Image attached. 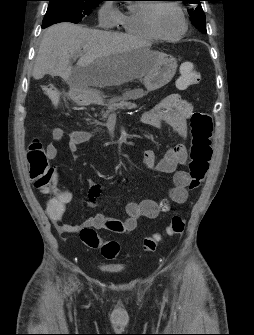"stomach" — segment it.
Masks as SVG:
<instances>
[{
  "label": "stomach",
  "mask_w": 254,
  "mask_h": 335,
  "mask_svg": "<svg viewBox=\"0 0 254 335\" xmlns=\"http://www.w3.org/2000/svg\"><path fill=\"white\" fill-rule=\"evenodd\" d=\"M155 60L152 68L144 76L143 84L146 91L142 89H134L124 94L127 99H138L145 95V93L157 90L168 84L174 77L177 69V61L174 57L157 51H150ZM96 63L90 65L94 66ZM71 97L76 102L88 105L91 103L104 104V99L97 92L90 89L77 88L71 92Z\"/></svg>",
  "instance_id": "1"
}]
</instances>
